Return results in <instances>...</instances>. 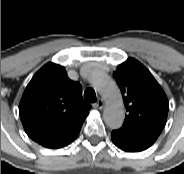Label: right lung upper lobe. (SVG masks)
Here are the masks:
<instances>
[{
  "label": "right lung upper lobe",
  "mask_w": 184,
  "mask_h": 174,
  "mask_svg": "<svg viewBox=\"0 0 184 174\" xmlns=\"http://www.w3.org/2000/svg\"><path fill=\"white\" fill-rule=\"evenodd\" d=\"M81 90L63 66L51 62L44 65L27 85L19 104L28 136L53 148L80 129L91 109L83 101Z\"/></svg>",
  "instance_id": "1"
}]
</instances>
